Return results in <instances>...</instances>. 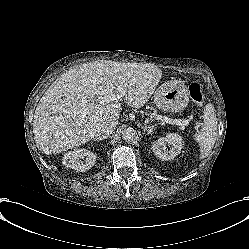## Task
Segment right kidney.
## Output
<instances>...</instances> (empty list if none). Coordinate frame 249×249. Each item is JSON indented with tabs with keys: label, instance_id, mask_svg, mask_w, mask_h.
<instances>
[{
	"label": "right kidney",
	"instance_id": "1",
	"mask_svg": "<svg viewBox=\"0 0 249 249\" xmlns=\"http://www.w3.org/2000/svg\"><path fill=\"white\" fill-rule=\"evenodd\" d=\"M78 158V155H75V154H72V155H68V156H65L64 158H63V160H64V162L66 163V164H68V165H71V164H73L75 161H76V159ZM93 164H92V162L89 164V167H91Z\"/></svg>",
	"mask_w": 249,
	"mask_h": 249
}]
</instances>
